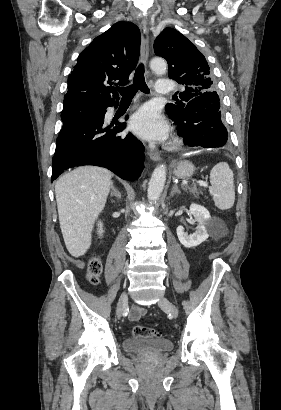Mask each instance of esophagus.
Wrapping results in <instances>:
<instances>
[{
    "label": "esophagus",
    "mask_w": 281,
    "mask_h": 410,
    "mask_svg": "<svg viewBox=\"0 0 281 410\" xmlns=\"http://www.w3.org/2000/svg\"><path fill=\"white\" fill-rule=\"evenodd\" d=\"M140 31H141V58L145 65L148 63L149 57V36H148V28L145 18H142L140 24ZM147 78L149 77V71L146 70ZM148 154L153 161H160L161 157L159 152L150 149L148 150Z\"/></svg>",
    "instance_id": "esophagus-1"
}]
</instances>
